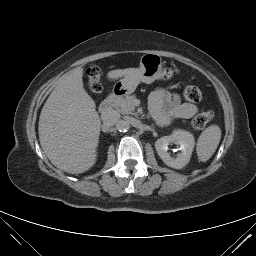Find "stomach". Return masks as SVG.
Here are the masks:
<instances>
[{"mask_svg":"<svg viewBox=\"0 0 256 256\" xmlns=\"http://www.w3.org/2000/svg\"><path fill=\"white\" fill-rule=\"evenodd\" d=\"M172 77L173 70L163 67L158 55L147 53L141 57L139 68L115 83L114 92L119 95H128L135 91L140 82L150 84L156 79L169 80Z\"/></svg>","mask_w":256,"mask_h":256,"instance_id":"stomach-1","label":"stomach"}]
</instances>
